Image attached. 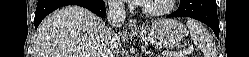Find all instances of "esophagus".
<instances>
[{
	"label": "esophagus",
	"instance_id": "esophagus-1",
	"mask_svg": "<svg viewBox=\"0 0 249 57\" xmlns=\"http://www.w3.org/2000/svg\"><path fill=\"white\" fill-rule=\"evenodd\" d=\"M127 29L132 32L138 31L139 30L138 22L134 19H130L127 24Z\"/></svg>",
	"mask_w": 249,
	"mask_h": 57
}]
</instances>
